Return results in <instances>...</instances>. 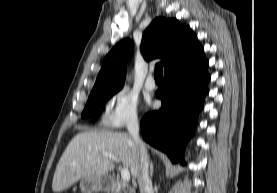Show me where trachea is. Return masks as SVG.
Listing matches in <instances>:
<instances>
[{
  "label": "trachea",
  "mask_w": 277,
  "mask_h": 193,
  "mask_svg": "<svg viewBox=\"0 0 277 193\" xmlns=\"http://www.w3.org/2000/svg\"><path fill=\"white\" fill-rule=\"evenodd\" d=\"M154 78L156 81H162L163 80V67L159 66L156 68L154 72Z\"/></svg>",
  "instance_id": "obj_1"
}]
</instances>
